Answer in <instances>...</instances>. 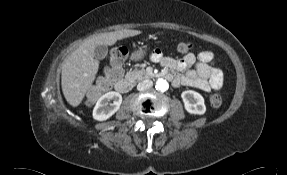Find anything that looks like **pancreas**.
I'll use <instances>...</instances> for the list:
<instances>
[{"mask_svg":"<svg viewBox=\"0 0 287 175\" xmlns=\"http://www.w3.org/2000/svg\"><path fill=\"white\" fill-rule=\"evenodd\" d=\"M148 76V73L146 72L145 69L141 70H134L132 72H129L127 74V77L133 80H142Z\"/></svg>","mask_w":287,"mask_h":175,"instance_id":"obj_1","label":"pancreas"}]
</instances>
